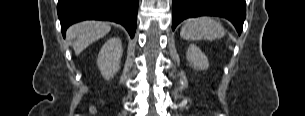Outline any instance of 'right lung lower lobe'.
<instances>
[{
  "label": "right lung lower lobe",
  "instance_id": "obj_1",
  "mask_svg": "<svg viewBox=\"0 0 305 116\" xmlns=\"http://www.w3.org/2000/svg\"><path fill=\"white\" fill-rule=\"evenodd\" d=\"M138 0H59L61 30L82 20H109L122 24L131 38L136 31Z\"/></svg>",
  "mask_w": 305,
  "mask_h": 116
}]
</instances>
